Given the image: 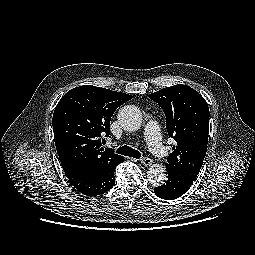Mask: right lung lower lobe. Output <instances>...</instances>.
<instances>
[{
	"mask_svg": "<svg viewBox=\"0 0 255 255\" xmlns=\"http://www.w3.org/2000/svg\"><path fill=\"white\" fill-rule=\"evenodd\" d=\"M116 166L117 165L103 172L82 174L65 173V175L76 190L84 195L94 197L109 191L113 187L115 183L114 171Z\"/></svg>",
	"mask_w": 255,
	"mask_h": 255,
	"instance_id": "1",
	"label": "right lung lower lobe"
}]
</instances>
